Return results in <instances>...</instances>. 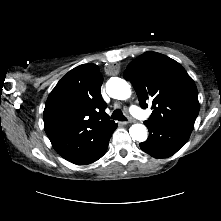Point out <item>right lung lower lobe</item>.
<instances>
[{
    "instance_id": "1",
    "label": "right lung lower lobe",
    "mask_w": 221,
    "mask_h": 221,
    "mask_svg": "<svg viewBox=\"0 0 221 221\" xmlns=\"http://www.w3.org/2000/svg\"><path fill=\"white\" fill-rule=\"evenodd\" d=\"M116 127L117 125L112 127L108 132L103 134L90 149L71 162L78 165H86L93 163L101 158L106 153L109 140Z\"/></svg>"
}]
</instances>
